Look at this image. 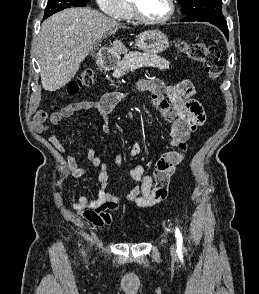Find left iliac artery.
<instances>
[{
  "label": "left iliac artery",
  "mask_w": 259,
  "mask_h": 294,
  "mask_svg": "<svg viewBox=\"0 0 259 294\" xmlns=\"http://www.w3.org/2000/svg\"><path fill=\"white\" fill-rule=\"evenodd\" d=\"M175 237L177 240V250L176 251L180 255L182 253V250L184 249L183 237H182L180 230L177 227L175 228Z\"/></svg>",
  "instance_id": "obj_1"
}]
</instances>
